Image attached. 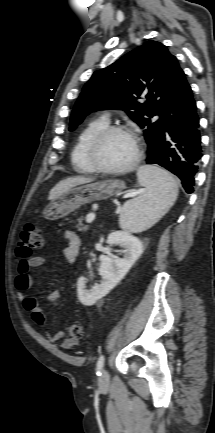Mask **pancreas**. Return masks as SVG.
<instances>
[{
    "label": "pancreas",
    "instance_id": "pancreas-1",
    "mask_svg": "<svg viewBox=\"0 0 215 433\" xmlns=\"http://www.w3.org/2000/svg\"><path fill=\"white\" fill-rule=\"evenodd\" d=\"M76 227L78 228L79 231H86L89 229L88 225L83 224L82 218L78 219V223H77Z\"/></svg>",
    "mask_w": 215,
    "mask_h": 433
}]
</instances>
